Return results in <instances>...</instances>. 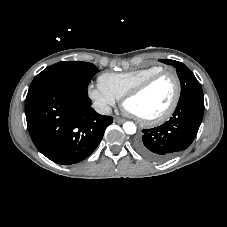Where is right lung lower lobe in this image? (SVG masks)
Masks as SVG:
<instances>
[{"label":"right lung lower lobe","instance_id":"right-lung-lower-lobe-1","mask_svg":"<svg viewBox=\"0 0 227 227\" xmlns=\"http://www.w3.org/2000/svg\"><path fill=\"white\" fill-rule=\"evenodd\" d=\"M27 126L33 143L48 159L69 165L87 158L113 122L98 114L85 93L49 86L28 93Z\"/></svg>","mask_w":227,"mask_h":227}]
</instances>
